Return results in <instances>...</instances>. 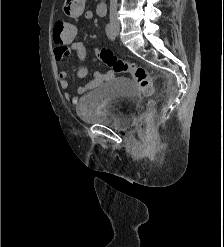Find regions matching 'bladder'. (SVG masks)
<instances>
[{"mask_svg":"<svg viewBox=\"0 0 224 247\" xmlns=\"http://www.w3.org/2000/svg\"><path fill=\"white\" fill-rule=\"evenodd\" d=\"M138 105L134 82L116 77L85 93L76 105V114L84 123L126 131L132 126Z\"/></svg>","mask_w":224,"mask_h":247,"instance_id":"31cf9c89","label":"bladder"}]
</instances>
